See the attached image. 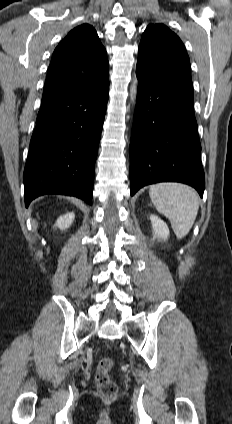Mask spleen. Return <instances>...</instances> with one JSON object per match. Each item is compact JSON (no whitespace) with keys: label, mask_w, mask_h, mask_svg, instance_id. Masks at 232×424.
I'll return each mask as SVG.
<instances>
[{"label":"spleen","mask_w":232,"mask_h":424,"mask_svg":"<svg viewBox=\"0 0 232 424\" xmlns=\"http://www.w3.org/2000/svg\"><path fill=\"white\" fill-rule=\"evenodd\" d=\"M152 203L170 221L178 239L190 231L199 209L196 191L181 183H158L149 189Z\"/></svg>","instance_id":"3e777b00"}]
</instances>
